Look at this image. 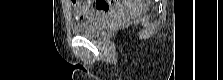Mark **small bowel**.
I'll return each mask as SVG.
<instances>
[{"mask_svg":"<svg viewBox=\"0 0 223 80\" xmlns=\"http://www.w3.org/2000/svg\"><path fill=\"white\" fill-rule=\"evenodd\" d=\"M116 7V4L112 2H96L94 8L89 3H77L72 1V8L75 16L78 19H91L101 14L107 13ZM85 13V15L83 14Z\"/></svg>","mask_w":223,"mask_h":80,"instance_id":"1","label":"small bowel"}]
</instances>
